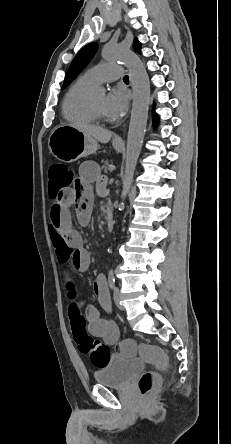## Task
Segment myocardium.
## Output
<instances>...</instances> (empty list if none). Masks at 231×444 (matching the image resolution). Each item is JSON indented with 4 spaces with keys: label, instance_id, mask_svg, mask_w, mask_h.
Masks as SVG:
<instances>
[{
    "label": "myocardium",
    "instance_id": "myocardium-1",
    "mask_svg": "<svg viewBox=\"0 0 231 444\" xmlns=\"http://www.w3.org/2000/svg\"><path fill=\"white\" fill-rule=\"evenodd\" d=\"M89 110H90V113L92 114L95 121L110 122V119H108L107 117H104L103 115H101L99 113V111L96 109V107L94 105L92 98L89 99Z\"/></svg>",
    "mask_w": 231,
    "mask_h": 444
}]
</instances>
